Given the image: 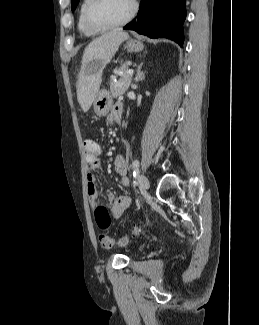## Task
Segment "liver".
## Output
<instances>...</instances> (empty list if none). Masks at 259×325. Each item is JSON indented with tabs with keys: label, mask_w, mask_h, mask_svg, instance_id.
<instances>
[{
	"label": "liver",
	"mask_w": 259,
	"mask_h": 325,
	"mask_svg": "<svg viewBox=\"0 0 259 325\" xmlns=\"http://www.w3.org/2000/svg\"><path fill=\"white\" fill-rule=\"evenodd\" d=\"M128 38L127 32L113 30L94 39L85 48L77 82V99L84 112L89 110L95 100L103 69L111 61L121 43ZM90 63L92 64L89 67Z\"/></svg>",
	"instance_id": "liver-1"
}]
</instances>
